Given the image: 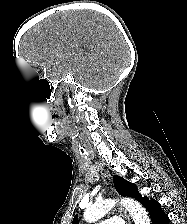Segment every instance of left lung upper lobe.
Here are the masks:
<instances>
[{
  "instance_id": "obj_1",
  "label": "left lung upper lobe",
  "mask_w": 187,
  "mask_h": 224,
  "mask_svg": "<svg viewBox=\"0 0 187 224\" xmlns=\"http://www.w3.org/2000/svg\"><path fill=\"white\" fill-rule=\"evenodd\" d=\"M114 186L116 191L122 196H129L135 198L140 203L143 202L146 197H142L139 192L137 191V187L129 183L128 181L124 180L122 177L115 175L113 177ZM72 224H77V215H75Z\"/></svg>"
}]
</instances>
